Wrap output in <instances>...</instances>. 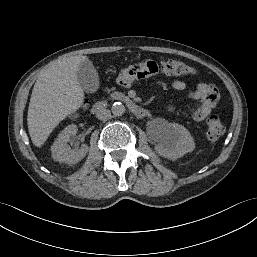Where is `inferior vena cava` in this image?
Listing matches in <instances>:
<instances>
[{
  "mask_svg": "<svg viewBox=\"0 0 257 257\" xmlns=\"http://www.w3.org/2000/svg\"><path fill=\"white\" fill-rule=\"evenodd\" d=\"M97 118L99 119V120H102V121H106V120H108V119H110V117H111V112H110V110H108V109H105V108H102V109H100L98 112H97Z\"/></svg>",
  "mask_w": 257,
  "mask_h": 257,
  "instance_id": "1",
  "label": "inferior vena cava"
}]
</instances>
